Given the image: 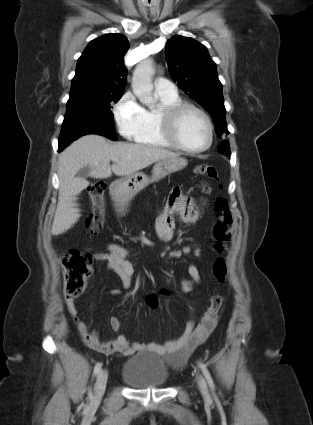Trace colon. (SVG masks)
<instances>
[{
    "label": "colon",
    "instance_id": "colon-1",
    "mask_svg": "<svg viewBox=\"0 0 313 425\" xmlns=\"http://www.w3.org/2000/svg\"><path fill=\"white\" fill-rule=\"evenodd\" d=\"M195 172L199 175L206 176L209 179L218 181V172L211 165H198ZM106 185L103 182H94L89 188V196L93 204V210L89 219V228L91 233H96L101 227L104 220V211L102 206L103 195ZM203 191L208 192L209 187L204 185ZM214 212L216 215V225L214 227V237L216 243L213 250L217 253L226 252L228 249L227 241L234 231L233 217L229 210L228 202L225 198H218L214 203ZM202 252L197 250L196 256H200ZM93 257L89 253L69 250L62 256V268L64 273V293L67 298H77L85 289L86 281L92 273ZM213 275L216 280L223 282L227 276V264L225 259L218 258L213 263ZM147 302L150 307L155 308L158 300L155 295H149ZM222 303V297L215 294L210 299L209 313L212 317L217 318L219 308Z\"/></svg>",
    "mask_w": 313,
    "mask_h": 425
}]
</instances>
